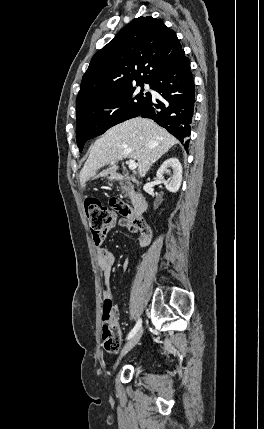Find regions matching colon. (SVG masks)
Segmentation results:
<instances>
[{"mask_svg":"<svg viewBox=\"0 0 264 429\" xmlns=\"http://www.w3.org/2000/svg\"><path fill=\"white\" fill-rule=\"evenodd\" d=\"M85 213L93 238H101L112 217L111 208L116 209L122 215L131 214L130 208L120 200H113L110 207L103 204L97 198L85 200ZM102 340L107 351L115 352L121 345V329L114 307L110 299L104 301L102 315Z\"/></svg>","mask_w":264,"mask_h":429,"instance_id":"obj_1","label":"colon"}]
</instances>
